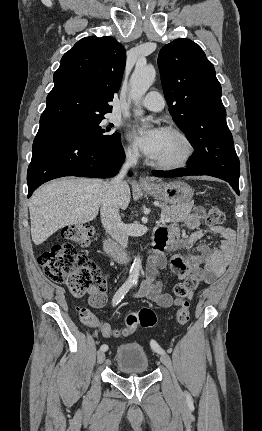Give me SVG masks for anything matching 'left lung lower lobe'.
<instances>
[{
  "instance_id": "1",
  "label": "left lung lower lobe",
  "mask_w": 262,
  "mask_h": 431,
  "mask_svg": "<svg viewBox=\"0 0 262 431\" xmlns=\"http://www.w3.org/2000/svg\"><path fill=\"white\" fill-rule=\"evenodd\" d=\"M152 174L156 177H177V176H189V175H207L204 174L202 172L196 171L192 168L189 169H182V170H178V171H159V170H155L152 172ZM220 179H223L227 182L230 183V185L232 186V188L235 190V192L239 195V181H232V180H228L225 177H222Z\"/></svg>"
}]
</instances>
